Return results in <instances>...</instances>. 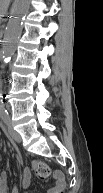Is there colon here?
I'll use <instances>...</instances> for the list:
<instances>
[{"label":"colon","mask_w":103,"mask_h":193,"mask_svg":"<svg viewBox=\"0 0 103 193\" xmlns=\"http://www.w3.org/2000/svg\"><path fill=\"white\" fill-rule=\"evenodd\" d=\"M36 176L39 179H47L51 175V169L45 162L37 161L33 164ZM56 173L55 176H57Z\"/></svg>","instance_id":"colon-1"}]
</instances>
